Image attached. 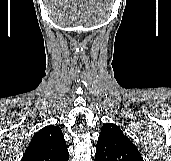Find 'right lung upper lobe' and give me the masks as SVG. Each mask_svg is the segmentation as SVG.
I'll use <instances>...</instances> for the list:
<instances>
[{"label": "right lung upper lobe", "mask_w": 171, "mask_h": 161, "mask_svg": "<svg viewBox=\"0 0 171 161\" xmlns=\"http://www.w3.org/2000/svg\"><path fill=\"white\" fill-rule=\"evenodd\" d=\"M69 154L61 129L49 125L37 132L21 161H68Z\"/></svg>", "instance_id": "right-lung-upper-lobe-1"}]
</instances>
